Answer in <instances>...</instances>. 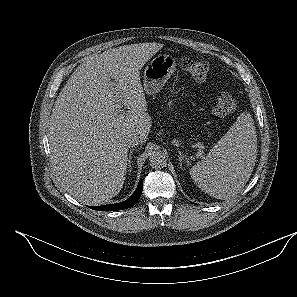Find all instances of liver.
Returning <instances> with one entry per match:
<instances>
[{
  "label": "liver",
  "instance_id": "liver-1",
  "mask_svg": "<svg viewBox=\"0 0 297 297\" xmlns=\"http://www.w3.org/2000/svg\"><path fill=\"white\" fill-rule=\"evenodd\" d=\"M162 47L131 44L92 56L57 96L48 128L51 160L61 186L79 202L104 204L122 189L125 138L136 134L144 143L151 128L140 69ZM116 95L126 113L116 108Z\"/></svg>",
  "mask_w": 297,
  "mask_h": 297
}]
</instances>
